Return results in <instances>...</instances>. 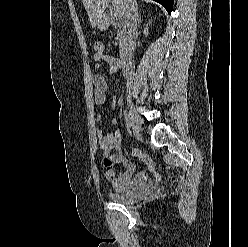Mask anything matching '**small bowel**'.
<instances>
[{
	"mask_svg": "<svg viewBox=\"0 0 248 247\" xmlns=\"http://www.w3.org/2000/svg\"><path fill=\"white\" fill-rule=\"evenodd\" d=\"M94 61V68L96 70L101 68V61L109 66V71L112 74L119 72L121 69L118 60L108 54H95ZM92 82L95 105L102 106L108 99L106 80L101 74L97 73L93 76ZM101 119V114L95 116L97 122L101 121ZM111 122L115 124L116 119H112ZM97 134L99 137V146L103 150V163L106 168V178L115 188L127 189L137 184L144 183L147 180L148 174L144 171L134 175L132 163L119 152L122 143L121 133L104 132L102 129H98ZM116 163H122L126 170L123 173H117L115 170Z\"/></svg>",
	"mask_w": 248,
	"mask_h": 247,
	"instance_id": "c3829d8e",
	"label": "small bowel"
}]
</instances>
